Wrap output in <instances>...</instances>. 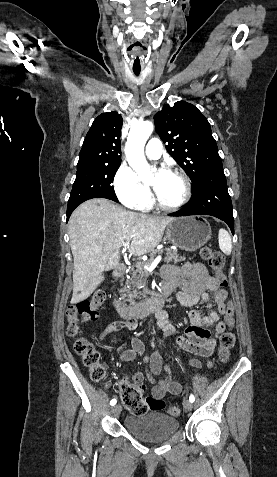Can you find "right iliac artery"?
Returning a JSON list of instances; mask_svg holds the SVG:
<instances>
[{"label":"right iliac artery","instance_id":"1","mask_svg":"<svg viewBox=\"0 0 277 477\" xmlns=\"http://www.w3.org/2000/svg\"><path fill=\"white\" fill-rule=\"evenodd\" d=\"M116 402H117L116 399H112V400L110 401V404H111V405H115Z\"/></svg>","mask_w":277,"mask_h":477}]
</instances>
